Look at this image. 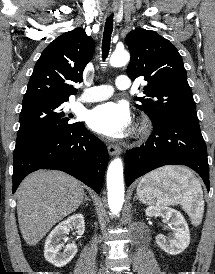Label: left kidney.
<instances>
[{
	"label": "left kidney",
	"mask_w": 215,
	"mask_h": 274,
	"mask_svg": "<svg viewBox=\"0 0 215 274\" xmlns=\"http://www.w3.org/2000/svg\"><path fill=\"white\" fill-rule=\"evenodd\" d=\"M145 213L148 217L161 216L167 220L170 219L176 228L173 238L163 234L156 236V243L163 251L170 255H178L189 246V227L180 212L166 206H149Z\"/></svg>",
	"instance_id": "obj_1"
}]
</instances>
